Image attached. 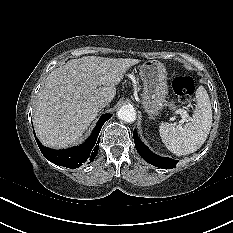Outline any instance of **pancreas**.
I'll list each match as a JSON object with an SVG mask.
<instances>
[{
  "mask_svg": "<svg viewBox=\"0 0 233 233\" xmlns=\"http://www.w3.org/2000/svg\"><path fill=\"white\" fill-rule=\"evenodd\" d=\"M140 87H138V89H139ZM171 108H174L175 107V105H174V102H172V103H170V105H169Z\"/></svg>",
  "mask_w": 233,
  "mask_h": 233,
  "instance_id": "cf45deb5",
  "label": "pancreas"
}]
</instances>
